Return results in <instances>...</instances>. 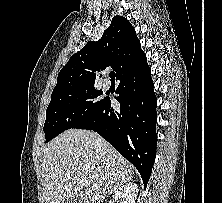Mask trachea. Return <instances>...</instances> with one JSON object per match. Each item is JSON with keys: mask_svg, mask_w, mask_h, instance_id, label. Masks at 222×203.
I'll use <instances>...</instances> for the list:
<instances>
[{"mask_svg": "<svg viewBox=\"0 0 222 203\" xmlns=\"http://www.w3.org/2000/svg\"><path fill=\"white\" fill-rule=\"evenodd\" d=\"M109 75H110L111 80L115 79V72L114 71H111Z\"/></svg>", "mask_w": 222, "mask_h": 203, "instance_id": "3493384b", "label": "trachea"}]
</instances>
